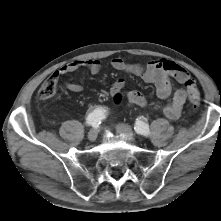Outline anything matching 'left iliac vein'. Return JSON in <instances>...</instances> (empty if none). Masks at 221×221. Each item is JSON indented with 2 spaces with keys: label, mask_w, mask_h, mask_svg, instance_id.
<instances>
[{
  "label": "left iliac vein",
  "mask_w": 221,
  "mask_h": 221,
  "mask_svg": "<svg viewBox=\"0 0 221 221\" xmlns=\"http://www.w3.org/2000/svg\"><path fill=\"white\" fill-rule=\"evenodd\" d=\"M116 130L119 134L125 135L129 141H134L132 128L127 124H118Z\"/></svg>",
  "instance_id": "obj_1"
}]
</instances>
